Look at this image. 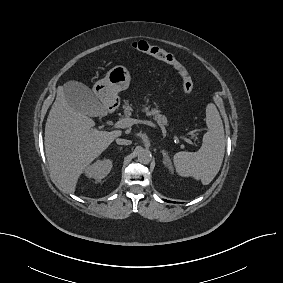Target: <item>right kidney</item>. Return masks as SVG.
Returning a JSON list of instances; mask_svg holds the SVG:
<instances>
[{
  "label": "right kidney",
  "mask_w": 283,
  "mask_h": 283,
  "mask_svg": "<svg viewBox=\"0 0 283 283\" xmlns=\"http://www.w3.org/2000/svg\"><path fill=\"white\" fill-rule=\"evenodd\" d=\"M112 166V160L110 159L97 160L92 165L86 167L85 175L88 178H94L99 181L110 173Z\"/></svg>",
  "instance_id": "ca27d5eb"
}]
</instances>
